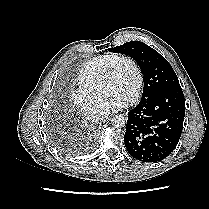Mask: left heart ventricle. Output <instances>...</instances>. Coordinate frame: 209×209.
<instances>
[{
    "label": "left heart ventricle",
    "mask_w": 209,
    "mask_h": 209,
    "mask_svg": "<svg viewBox=\"0 0 209 209\" xmlns=\"http://www.w3.org/2000/svg\"><path fill=\"white\" fill-rule=\"evenodd\" d=\"M136 74L133 66L122 61L118 64L113 78L107 85L104 94L108 97L118 96L127 100L135 86Z\"/></svg>",
    "instance_id": "b2bd125f"
}]
</instances>
